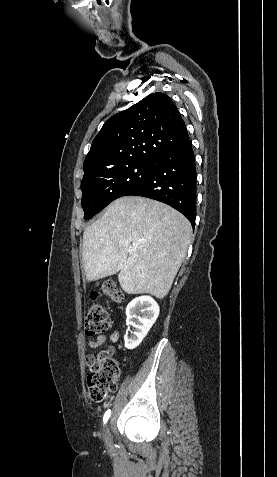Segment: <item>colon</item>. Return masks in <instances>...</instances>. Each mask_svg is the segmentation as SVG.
Returning <instances> with one entry per match:
<instances>
[{
  "label": "colon",
  "instance_id": "5ec220e1",
  "mask_svg": "<svg viewBox=\"0 0 277 477\" xmlns=\"http://www.w3.org/2000/svg\"><path fill=\"white\" fill-rule=\"evenodd\" d=\"M102 293L113 302L123 301L122 293L113 282L104 283ZM98 296L97 293L91 295V303L85 314V333L90 339H97L108 328V313L97 302ZM89 369L87 377L89 398L95 403H100L117 388L120 377L119 363L115 358L105 356L90 365Z\"/></svg>",
  "mask_w": 277,
  "mask_h": 477
}]
</instances>
